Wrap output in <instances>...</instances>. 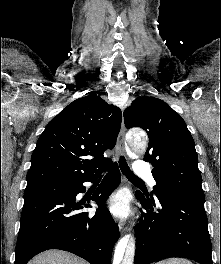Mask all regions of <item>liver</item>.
<instances>
[{"instance_id": "liver-1", "label": "liver", "mask_w": 221, "mask_h": 264, "mask_svg": "<svg viewBox=\"0 0 221 264\" xmlns=\"http://www.w3.org/2000/svg\"><path fill=\"white\" fill-rule=\"evenodd\" d=\"M28 264H89L83 259L59 250H49L35 256Z\"/></svg>"}]
</instances>
